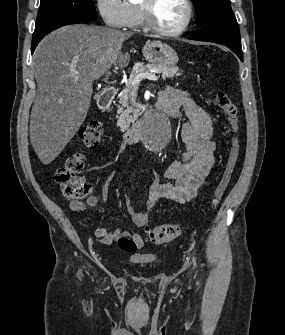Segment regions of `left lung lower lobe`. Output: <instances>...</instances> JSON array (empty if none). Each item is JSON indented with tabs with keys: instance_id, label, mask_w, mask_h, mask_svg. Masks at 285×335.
Listing matches in <instances>:
<instances>
[{
	"instance_id": "1",
	"label": "left lung lower lobe",
	"mask_w": 285,
	"mask_h": 335,
	"mask_svg": "<svg viewBox=\"0 0 285 335\" xmlns=\"http://www.w3.org/2000/svg\"><path fill=\"white\" fill-rule=\"evenodd\" d=\"M189 39L225 45L243 61L240 31L236 18L212 20L204 24L203 29Z\"/></svg>"
}]
</instances>
